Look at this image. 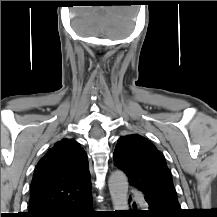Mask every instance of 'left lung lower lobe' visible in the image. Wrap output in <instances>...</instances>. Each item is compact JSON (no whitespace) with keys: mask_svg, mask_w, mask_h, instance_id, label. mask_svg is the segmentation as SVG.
Returning a JSON list of instances; mask_svg holds the SVG:
<instances>
[{"mask_svg":"<svg viewBox=\"0 0 217 217\" xmlns=\"http://www.w3.org/2000/svg\"><path fill=\"white\" fill-rule=\"evenodd\" d=\"M149 205V210L144 212H134L131 214H139L150 217H177L178 212L170 211L166 207L152 199H145Z\"/></svg>","mask_w":217,"mask_h":217,"instance_id":"left-lung-lower-lobe-1","label":"left lung lower lobe"}]
</instances>
